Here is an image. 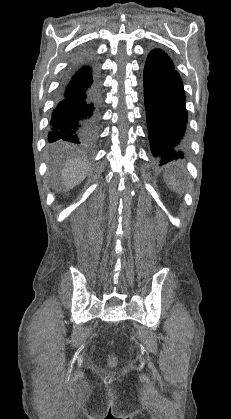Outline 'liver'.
Wrapping results in <instances>:
<instances>
[{"instance_id":"6515ba94","label":"liver","mask_w":231,"mask_h":419,"mask_svg":"<svg viewBox=\"0 0 231 419\" xmlns=\"http://www.w3.org/2000/svg\"><path fill=\"white\" fill-rule=\"evenodd\" d=\"M86 175V164L77 160L68 162L62 172L64 187L66 189H72L74 186L81 183Z\"/></svg>"}]
</instances>
